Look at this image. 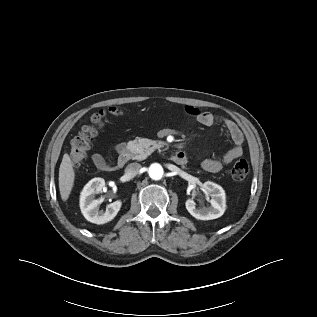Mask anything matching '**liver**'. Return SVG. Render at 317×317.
I'll return each instance as SVG.
<instances>
[{"label":"liver","mask_w":317,"mask_h":317,"mask_svg":"<svg viewBox=\"0 0 317 317\" xmlns=\"http://www.w3.org/2000/svg\"><path fill=\"white\" fill-rule=\"evenodd\" d=\"M75 173L70 156L64 154L59 168V190L61 199L67 201L74 184Z\"/></svg>","instance_id":"1"}]
</instances>
